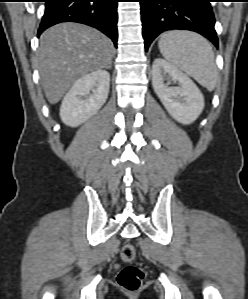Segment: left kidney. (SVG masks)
Here are the masks:
<instances>
[{"label":"left kidney","mask_w":248,"mask_h":299,"mask_svg":"<svg viewBox=\"0 0 248 299\" xmlns=\"http://www.w3.org/2000/svg\"><path fill=\"white\" fill-rule=\"evenodd\" d=\"M179 83L169 87L165 81ZM152 85L167 112L179 123H193L204 108V97L195 83L164 59L157 58L152 66Z\"/></svg>","instance_id":"5707ae66"}]
</instances>
